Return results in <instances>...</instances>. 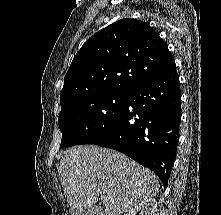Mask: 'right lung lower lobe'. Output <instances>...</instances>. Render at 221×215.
I'll list each match as a JSON object with an SVG mask.
<instances>
[{
    "mask_svg": "<svg viewBox=\"0 0 221 215\" xmlns=\"http://www.w3.org/2000/svg\"><path fill=\"white\" fill-rule=\"evenodd\" d=\"M181 94L174 59L127 93L123 113L89 144L115 149L154 171L166 186L179 137Z\"/></svg>",
    "mask_w": 221,
    "mask_h": 215,
    "instance_id": "1",
    "label": "right lung lower lobe"
}]
</instances>
